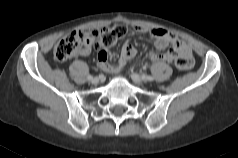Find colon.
Returning <instances> with one entry per match:
<instances>
[{
  "mask_svg": "<svg viewBox=\"0 0 238 158\" xmlns=\"http://www.w3.org/2000/svg\"><path fill=\"white\" fill-rule=\"evenodd\" d=\"M125 34L126 28L124 26L97 29L89 34L73 31L57 42L54 47L53 58L58 62H63L74 56L86 53L88 38L92 39L95 49L102 50L112 46L118 38L123 37ZM175 64L179 70L187 71L192 67L193 61L189 58L177 57Z\"/></svg>",
  "mask_w": 238,
  "mask_h": 158,
  "instance_id": "obj_1",
  "label": "colon"
}]
</instances>
